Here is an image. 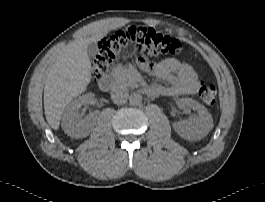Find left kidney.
<instances>
[{
    "label": "left kidney",
    "instance_id": "left-kidney-1",
    "mask_svg": "<svg viewBox=\"0 0 265 202\" xmlns=\"http://www.w3.org/2000/svg\"><path fill=\"white\" fill-rule=\"evenodd\" d=\"M180 108H191L197 111L189 120L173 123L174 130L178 135L189 141H197L206 136L213 129V119L208 110L191 98H182L177 100Z\"/></svg>",
    "mask_w": 265,
    "mask_h": 202
}]
</instances>
